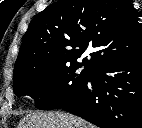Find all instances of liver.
Here are the masks:
<instances>
[{
    "instance_id": "1",
    "label": "liver",
    "mask_w": 142,
    "mask_h": 128,
    "mask_svg": "<svg viewBox=\"0 0 142 128\" xmlns=\"http://www.w3.org/2000/svg\"><path fill=\"white\" fill-rule=\"evenodd\" d=\"M18 128H95L75 115L63 112H33L26 115Z\"/></svg>"
}]
</instances>
